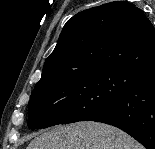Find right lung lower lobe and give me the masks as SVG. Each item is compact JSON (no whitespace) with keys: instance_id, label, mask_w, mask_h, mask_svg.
<instances>
[{"instance_id":"98d812e1","label":"right lung lower lobe","mask_w":155,"mask_h":149,"mask_svg":"<svg viewBox=\"0 0 155 149\" xmlns=\"http://www.w3.org/2000/svg\"><path fill=\"white\" fill-rule=\"evenodd\" d=\"M92 121L116 126L155 149V73L146 75Z\"/></svg>"}]
</instances>
